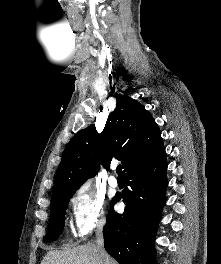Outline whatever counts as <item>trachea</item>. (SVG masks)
<instances>
[{
    "label": "trachea",
    "mask_w": 221,
    "mask_h": 264,
    "mask_svg": "<svg viewBox=\"0 0 221 264\" xmlns=\"http://www.w3.org/2000/svg\"><path fill=\"white\" fill-rule=\"evenodd\" d=\"M116 172H117L118 176H122V167H121V165L117 166Z\"/></svg>",
    "instance_id": "3493384b"
}]
</instances>
